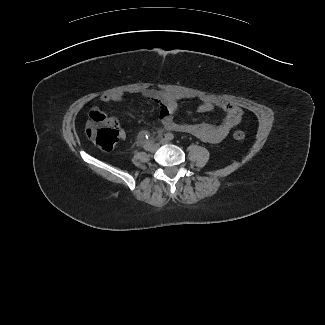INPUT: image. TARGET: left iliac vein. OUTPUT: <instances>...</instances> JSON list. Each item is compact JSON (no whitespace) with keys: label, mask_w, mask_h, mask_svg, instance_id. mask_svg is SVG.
<instances>
[{"label":"left iliac vein","mask_w":325,"mask_h":325,"mask_svg":"<svg viewBox=\"0 0 325 325\" xmlns=\"http://www.w3.org/2000/svg\"><path fill=\"white\" fill-rule=\"evenodd\" d=\"M168 142H169V140L166 138L160 140L161 144H167Z\"/></svg>","instance_id":"left-iliac-vein-1"}]
</instances>
